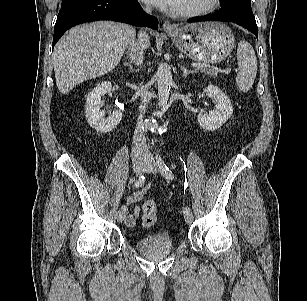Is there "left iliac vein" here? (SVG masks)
<instances>
[{
	"label": "left iliac vein",
	"instance_id": "obj_1",
	"mask_svg": "<svg viewBox=\"0 0 307 301\" xmlns=\"http://www.w3.org/2000/svg\"><path fill=\"white\" fill-rule=\"evenodd\" d=\"M146 156V163H145V172L147 173H156L157 172V165L156 162L154 160V158L152 157V155L147 152L145 154ZM184 218L187 224H191L193 222L194 216L193 213L190 211L188 213L184 214Z\"/></svg>",
	"mask_w": 307,
	"mask_h": 301
}]
</instances>
